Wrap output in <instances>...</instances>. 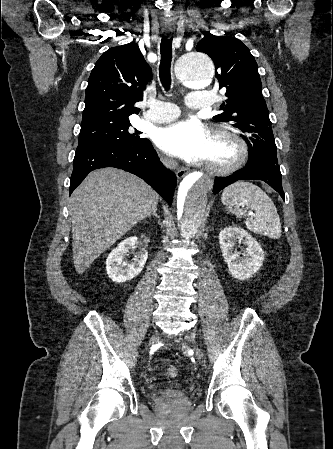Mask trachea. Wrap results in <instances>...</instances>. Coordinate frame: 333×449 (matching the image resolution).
I'll list each match as a JSON object with an SVG mask.
<instances>
[{
    "mask_svg": "<svg viewBox=\"0 0 333 449\" xmlns=\"http://www.w3.org/2000/svg\"><path fill=\"white\" fill-rule=\"evenodd\" d=\"M169 36H163L160 44L161 62L159 66V77L163 87L170 89L171 85V60H172V40Z\"/></svg>",
    "mask_w": 333,
    "mask_h": 449,
    "instance_id": "1",
    "label": "trachea"
}]
</instances>
